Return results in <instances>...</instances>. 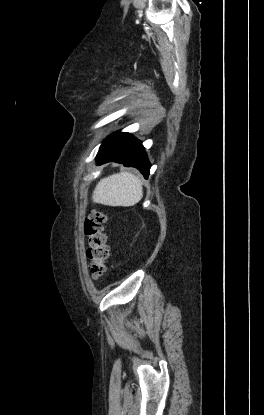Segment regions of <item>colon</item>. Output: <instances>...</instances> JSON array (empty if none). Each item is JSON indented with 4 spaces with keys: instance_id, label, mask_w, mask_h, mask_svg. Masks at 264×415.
I'll return each instance as SVG.
<instances>
[{
    "instance_id": "colon-1",
    "label": "colon",
    "mask_w": 264,
    "mask_h": 415,
    "mask_svg": "<svg viewBox=\"0 0 264 415\" xmlns=\"http://www.w3.org/2000/svg\"><path fill=\"white\" fill-rule=\"evenodd\" d=\"M108 213L104 210H92L83 224V232L87 238L85 255L91 276L94 279L102 277L105 273V262L109 255L105 227Z\"/></svg>"
}]
</instances>
